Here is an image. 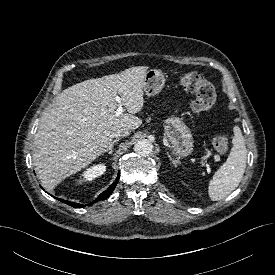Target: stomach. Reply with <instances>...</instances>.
I'll list each match as a JSON object with an SVG mask.
<instances>
[{
	"instance_id": "0dacf381",
	"label": "stomach",
	"mask_w": 275,
	"mask_h": 275,
	"mask_svg": "<svg viewBox=\"0 0 275 275\" xmlns=\"http://www.w3.org/2000/svg\"><path fill=\"white\" fill-rule=\"evenodd\" d=\"M165 76L159 69H150L144 78L143 90L147 96H154L161 92L165 84ZM164 136L168 143V148L177 160L185 158L193 152L192 134L181 120L172 115L164 120Z\"/></svg>"
}]
</instances>
